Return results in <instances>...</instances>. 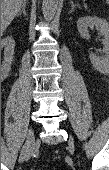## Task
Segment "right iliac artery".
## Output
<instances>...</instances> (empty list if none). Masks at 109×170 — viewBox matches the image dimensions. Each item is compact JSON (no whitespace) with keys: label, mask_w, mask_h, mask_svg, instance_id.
I'll return each instance as SVG.
<instances>
[{"label":"right iliac artery","mask_w":109,"mask_h":170,"mask_svg":"<svg viewBox=\"0 0 109 170\" xmlns=\"http://www.w3.org/2000/svg\"><path fill=\"white\" fill-rule=\"evenodd\" d=\"M25 149H26V146L24 145V146H23V149H22V151H21L20 157H19V161H20V162H23V161H24V158H25Z\"/></svg>","instance_id":"obj_1"}]
</instances>
